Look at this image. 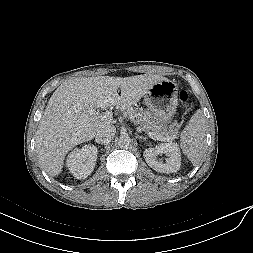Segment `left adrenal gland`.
<instances>
[{
  "label": "left adrenal gland",
  "mask_w": 253,
  "mask_h": 253,
  "mask_svg": "<svg viewBox=\"0 0 253 253\" xmlns=\"http://www.w3.org/2000/svg\"><path fill=\"white\" fill-rule=\"evenodd\" d=\"M136 138H138V139H142V140H146V137L139 136V135H137V136H136Z\"/></svg>",
  "instance_id": "obj_1"
}]
</instances>
